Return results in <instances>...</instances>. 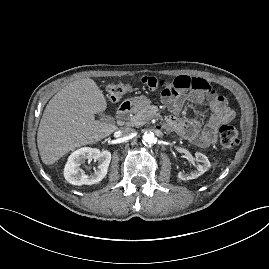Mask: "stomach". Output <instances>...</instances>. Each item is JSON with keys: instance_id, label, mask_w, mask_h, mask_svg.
Segmentation results:
<instances>
[{"instance_id": "obj_1", "label": "stomach", "mask_w": 269, "mask_h": 269, "mask_svg": "<svg viewBox=\"0 0 269 269\" xmlns=\"http://www.w3.org/2000/svg\"><path fill=\"white\" fill-rule=\"evenodd\" d=\"M132 102L134 104L139 105V106H146V105H148L150 103V100L147 99V98L142 97V98L133 99Z\"/></svg>"}]
</instances>
